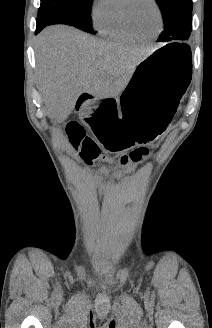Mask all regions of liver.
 Instances as JSON below:
<instances>
[{
  "mask_svg": "<svg viewBox=\"0 0 212 328\" xmlns=\"http://www.w3.org/2000/svg\"><path fill=\"white\" fill-rule=\"evenodd\" d=\"M153 50L97 39L75 28L57 25L37 38V67L45 105L60 123L82 93L97 98L118 96L137 64Z\"/></svg>",
  "mask_w": 212,
  "mask_h": 328,
  "instance_id": "1",
  "label": "liver"
}]
</instances>
